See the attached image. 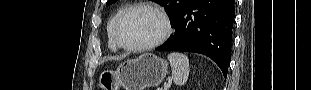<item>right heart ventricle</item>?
<instances>
[{
  "instance_id": "e07e8e85",
  "label": "right heart ventricle",
  "mask_w": 311,
  "mask_h": 90,
  "mask_svg": "<svg viewBox=\"0 0 311 90\" xmlns=\"http://www.w3.org/2000/svg\"><path fill=\"white\" fill-rule=\"evenodd\" d=\"M129 8L127 5H123L117 9V11L110 18L107 25V37H108V46L111 50H117L119 46L116 44L114 39V26L118 17Z\"/></svg>"
}]
</instances>
